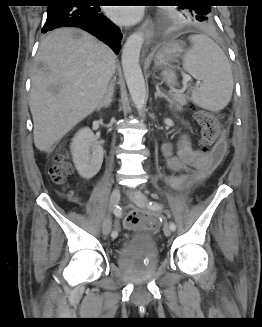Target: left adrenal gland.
<instances>
[{"label": "left adrenal gland", "mask_w": 262, "mask_h": 327, "mask_svg": "<svg viewBox=\"0 0 262 327\" xmlns=\"http://www.w3.org/2000/svg\"><path fill=\"white\" fill-rule=\"evenodd\" d=\"M158 98H164L166 99V101H168L170 103V105L172 104L171 100L169 99V97L167 95H165L164 93L161 92L159 85L156 84V93H155V99Z\"/></svg>", "instance_id": "obj_1"}]
</instances>
